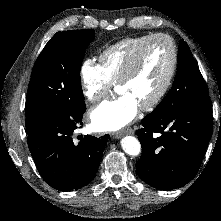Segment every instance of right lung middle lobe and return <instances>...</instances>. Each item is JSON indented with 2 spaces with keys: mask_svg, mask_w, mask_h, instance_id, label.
<instances>
[{
  "mask_svg": "<svg viewBox=\"0 0 221 221\" xmlns=\"http://www.w3.org/2000/svg\"><path fill=\"white\" fill-rule=\"evenodd\" d=\"M94 30L57 32L38 56L26 97V130L31 132L47 115L84 109L80 69Z\"/></svg>",
  "mask_w": 221,
  "mask_h": 221,
  "instance_id": "obj_1",
  "label": "right lung middle lobe"
}]
</instances>
